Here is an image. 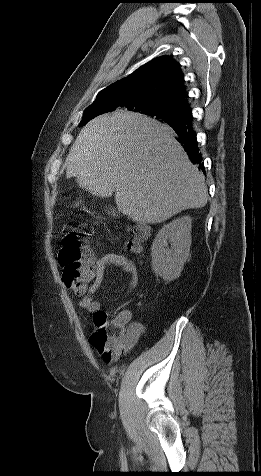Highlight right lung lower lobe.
<instances>
[{
  "instance_id": "obj_1",
  "label": "right lung lower lobe",
  "mask_w": 261,
  "mask_h": 476,
  "mask_svg": "<svg viewBox=\"0 0 261 476\" xmlns=\"http://www.w3.org/2000/svg\"><path fill=\"white\" fill-rule=\"evenodd\" d=\"M192 113L191 111L185 112V116L177 122L169 123V125L174 129L175 133L179 138V142L184 147L187 152L191 162L193 164H198L199 168L205 173L204 167L202 165V157L199 153L198 143L196 140V135L192 128Z\"/></svg>"
}]
</instances>
